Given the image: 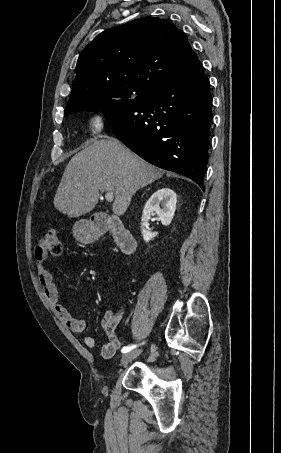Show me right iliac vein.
<instances>
[{"mask_svg": "<svg viewBox=\"0 0 281 453\" xmlns=\"http://www.w3.org/2000/svg\"><path fill=\"white\" fill-rule=\"evenodd\" d=\"M142 352L140 349L136 350V351H130V353H125L124 356L122 357L121 359V366L123 367L124 365H128L130 360L132 358H138V355H140Z\"/></svg>", "mask_w": 281, "mask_h": 453, "instance_id": "right-iliac-vein-1", "label": "right iliac vein"}]
</instances>
